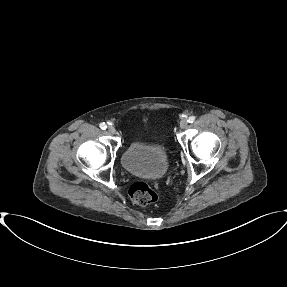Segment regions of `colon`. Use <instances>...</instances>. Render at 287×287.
<instances>
[{
	"label": "colon",
	"instance_id": "5ec220e1",
	"mask_svg": "<svg viewBox=\"0 0 287 287\" xmlns=\"http://www.w3.org/2000/svg\"><path fill=\"white\" fill-rule=\"evenodd\" d=\"M154 187L145 182H136L129 188V195L133 202L139 205H149L157 201L158 195Z\"/></svg>",
	"mask_w": 287,
	"mask_h": 287
}]
</instances>
